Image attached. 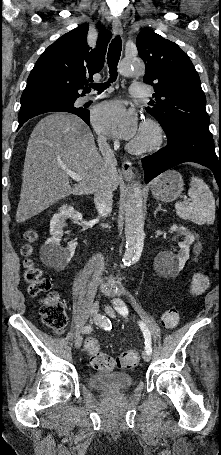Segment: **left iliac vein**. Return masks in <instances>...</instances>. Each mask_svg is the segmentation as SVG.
<instances>
[{
    "label": "left iliac vein",
    "mask_w": 221,
    "mask_h": 455,
    "mask_svg": "<svg viewBox=\"0 0 221 455\" xmlns=\"http://www.w3.org/2000/svg\"><path fill=\"white\" fill-rule=\"evenodd\" d=\"M105 312L111 318L116 317V313H115L114 309L112 307H110L109 305L105 306ZM142 358L144 359V361H147V362L150 361V359H151L150 354H148L146 351L142 352Z\"/></svg>",
    "instance_id": "4c4485c4"
}]
</instances>
